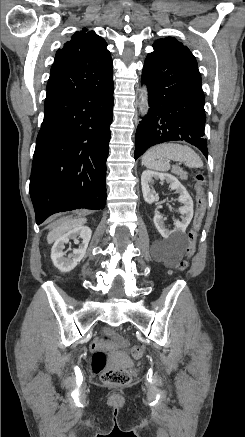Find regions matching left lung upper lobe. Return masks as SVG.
<instances>
[{
  "instance_id": "5c2ea615",
  "label": "left lung upper lobe",
  "mask_w": 245,
  "mask_h": 437,
  "mask_svg": "<svg viewBox=\"0 0 245 437\" xmlns=\"http://www.w3.org/2000/svg\"><path fill=\"white\" fill-rule=\"evenodd\" d=\"M153 46H166V47H170L172 49L177 50L178 52L188 56L189 58H191L192 60H194L196 62L195 57L193 56V54L190 52V50L184 46L181 42L177 41L174 37H167L165 39H159L157 40Z\"/></svg>"
}]
</instances>
